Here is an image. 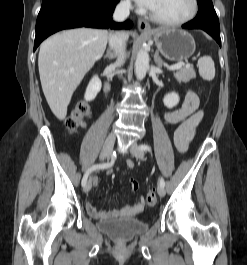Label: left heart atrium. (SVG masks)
<instances>
[{"mask_svg": "<svg viewBox=\"0 0 247 265\" xmlns=\"http://www.w3.org/2000/svg\"><path fill=\"white\" fill-rule=\"evenodd\" d=\"M139 5L151 8V6L154 4L155 0H135Z\"/></svg>", "mask_w": 247, "mask_h": 265, "instance_id": "left-heart-atrium-1", "label": "left heart atrium"}]
</instances>
